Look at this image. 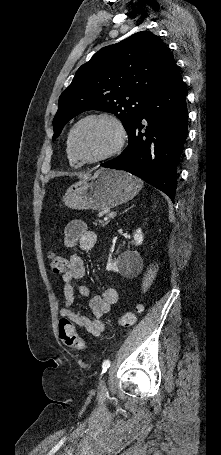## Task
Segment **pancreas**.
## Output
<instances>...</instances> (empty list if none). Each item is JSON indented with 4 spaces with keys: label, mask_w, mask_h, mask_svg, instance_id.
Masks as SVG:
<instances>
[{
    "label": "pancreas",
    "mask_w": 221,
    "mask_h": 455,
    "mask_svg": "<svg viewBox=\"0 0 221 455\" xmlns=\"http://www.w3.org/2000/svg\"><path fill=\"white\" fill-rule=\"evenodd\" d=\"M99 223L100 226H105L107 224V221H103V220H98L96 221V223Z\"/></svg>",
    "instance_id": "cf45deb5"
}]
</instances>
